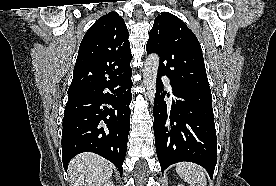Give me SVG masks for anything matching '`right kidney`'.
I'll return each mask as SVG.
<instances>
[{"mask_svg":"<svg viewBox=\"0 0 276 186\" xmlns=\"http://www.w3.org/2000/svg\"><path fill=\"white\" fill-rule=\"evenodd\" d=\"M104 186H114V185H113V182L110 181V182L106 183Z\"/></svg>","mask_w":276,"mask_h":186,"instance_id":"obj_1","label":"right kidney"}]
</instances>
